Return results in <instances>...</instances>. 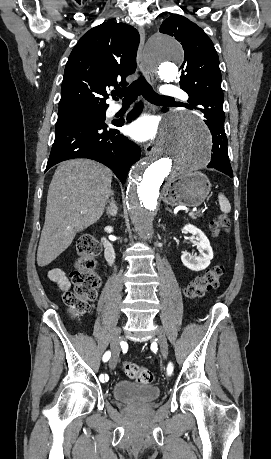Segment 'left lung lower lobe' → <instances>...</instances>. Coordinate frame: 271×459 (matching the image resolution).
I'll return each instance as SVG.
<instances>
[{"mask_svg":"<svg viewBox=\"0 0 271 459\" xmlns=\"http://www.w3.org/2000/svg\"><path fill=\"white\" fill-rule=\"evenodd\" d=\"M186 107L195 109L192 108L191 105ZM204 117V121L212 133V141L214 142L213 156L207 167L215 168L233 178V172L227 151V137L224 130L225 116L205 114Z\"/></svg>","mask_w":271,"mask_h":459,"instance_id":"1","label":"left lung lower lobe"}]
</instances>
